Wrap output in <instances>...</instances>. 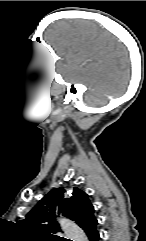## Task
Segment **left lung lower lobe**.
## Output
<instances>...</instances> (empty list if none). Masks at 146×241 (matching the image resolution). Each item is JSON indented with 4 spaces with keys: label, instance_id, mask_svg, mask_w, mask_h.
Segmentation results:
<instances>
[{
    "label": "left lung lower lobe",
    "instance_id": "left-lung-lower-lobe-1",
    "mask_svg": "<svg viewBox=\"0 0 146 241\" xmlns=\"http://www.w3.org/2000/svg\"><path fill=\"white\" fill-rule=\"evenodd\" d=\"M97 224L98 221L94 220L83 227L84 232L88 236L90 241H98L99 240V233L97 231Z\"/></svg>",
    "mask_w": 146,
    "mask_h": 241
}]
</instances>
